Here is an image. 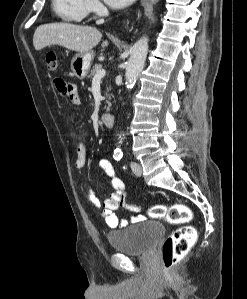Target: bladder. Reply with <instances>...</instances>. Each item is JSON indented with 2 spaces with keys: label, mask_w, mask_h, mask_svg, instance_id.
<instances>
[{
  "label": "bladder",
  "mask_w": 247,
  "mask_h": 299,
  "mask_svg": "<svg viewBox=\"0 0 247 299\" xmlns=\"http://www.w3.org/2000/svg\"><path fill=\"white\" fill-rule=\"evenodd\" d=\"M164 234L163 224L147 220L110 231L108 241L115 251L129 255H143L152 250Z\"/></svg>",
  "instance_id": "bladder-1"
}]
</instances>
